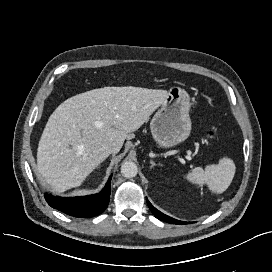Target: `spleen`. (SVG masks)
Segmentation results:
<instances>
[{"label": "spleen", "instance_id": "spleen-1", "mask_svg": "<svg viewBox=\"0 0 272 272\" xmlns=\"http://www.w3.org/2000/svg\"><path fill=\"white\" fill-rule=\"evenodd\" d=\"M236 166L232 159L224 157L219 164L209 165L205 169L194 168L185 178L196 184L206 183L214 193L224 192L233 180Z\"/></svg>", "mask_w": 272, "mask_h": 272}]
</instances>
